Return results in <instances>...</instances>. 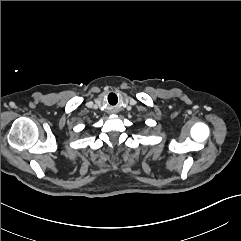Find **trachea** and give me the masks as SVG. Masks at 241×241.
Returning a JSON list of instances; mask_svg holds the SVG:
<instances>
[{"instance_id": "trachea-1", "label": "trachea", "mask_w": 241, "mask_h": 241, "mask_svg": "<svg viewBox=\"0 0 241 241\" xmlns=\"http://www.w3.org/2000/svg\"><path fill=\"white\" fill-rule=\"evenodd\" d=\"M107 101H108V103L111 104V105H116V104H118V102H119V97H118V95L115 94V93H110V94H108V96H107Z\"/></svg>"}]
</instances>
